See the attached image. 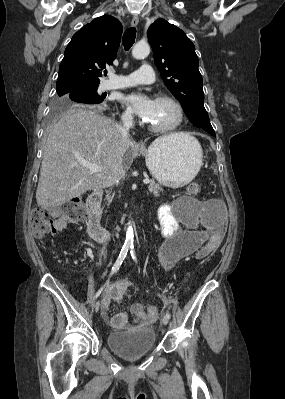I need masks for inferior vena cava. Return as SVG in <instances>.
I'll list each match as a JSON object with an SVG mask.
<instances>
[{
    "label": "inferior vena cava",
    "mask_w": 285,
    "mask_h": 399,
    "mask_svg": "<svg viewBox=\"0 0 285 399\" xmlns=\"http://www.w3.org/2000/svg\"><path fill=\"white\" fill-rule=\"evenodd\" d=\"M123 125L121 127V134L124 140L128 137L129 129L133 126V116L130 113H125L122 116Z\"/></svg>",
    "instance_id": "inferior-vena-cava-1"
}]
</instances>
